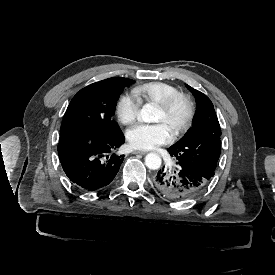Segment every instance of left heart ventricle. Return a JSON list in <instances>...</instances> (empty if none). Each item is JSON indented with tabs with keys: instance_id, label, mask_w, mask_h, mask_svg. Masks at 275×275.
I'll use <instances>...</instances> for the list:
<instances>
[{
	"instance_id": "b2bd125f",
	"label": "left heart ventricle",
	"mask_w": 275,
	"mask_h": 275,
	"mask_svg": "<svg viewBox=\"0 0 275 275\" xmlns=\"http://www.w3.org/2000/svg\"><path fill=\"white\" fill-rule=\"evenodd\" d=\"M186 113V107L182 101H178L169 111H164L157 105L153 120L165 124L174 133L185 120Z\"/></svg>"
}]
</instances>
